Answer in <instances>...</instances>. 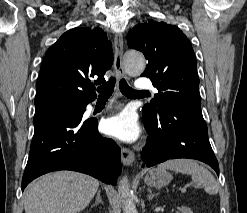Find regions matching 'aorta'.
<instances>
[{"mask_svg": "<svg viewBox=\"0 0 247 213\" xmlns=\"http://www.w3.org/2000/svg\"><path fill=\"white\" fill-rule=\"evenodd\" d=\"M124 65L127 74L138 76L145 70V58L142 53L129 50L124 55ZM118 192L123 198V213H138L135 204L130 199V185L127 176L121 179Z\"/></svg>", "mask_w": 247, "mask_h": 213, "instance_id": "aorta-1", "label": "aorta"}]
</instances>
